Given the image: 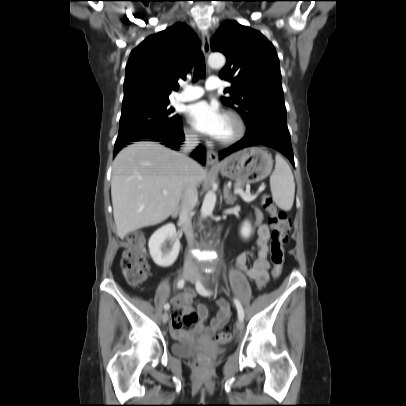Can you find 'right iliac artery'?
Returning a JSON list of instances; mask_svg holds the SVG:
<instances>
[{
  "label": "right iliac artery",
  "mask_w": 406,
  "mask_h": 406,
  "mask_svg": "<svg viewBox=\"0 0 406 406\" xmlns=\"http://www.w3.org/2000/svg\"><path fill=\"white\" fill-rule=\"evenodd\" d=\"M184 285H185V281H184L183 279H180V280L178 281V283H177V287H178L179 289H182V288L184 287ZM169 308H170L169 303L165 304L164 309H165V310H168Z\"/></svg>",
  "instance_id": "right-iliac-artery-1"
}]
</instances>
